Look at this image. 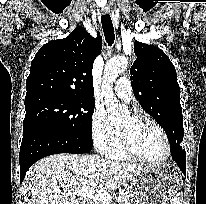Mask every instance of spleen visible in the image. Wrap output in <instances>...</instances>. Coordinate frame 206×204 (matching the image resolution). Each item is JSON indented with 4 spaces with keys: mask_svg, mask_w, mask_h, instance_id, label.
Segmentation results:
<instances>
[{
    "mask_svg": "<svg viewBox=\"0 0 206 204\" xmlns=\"http://www.w3.org/2000/svg\"><path fill=\"white\" fill-rule=\"evenodd\" d=\"M170 204H182V199L180 197V194H175L171 200H170Z\"/></svg>",
    "mask_w": 206,
    "mask_h": 204,
    "instance_id": "obj_1",
    "label": "spleen"
}]
</instances>
